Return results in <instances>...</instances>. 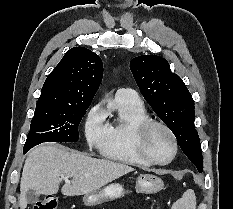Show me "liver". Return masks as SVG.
<instances>
[{
  "label": "liver",
  "instance_id": "obj_1",
  "mask_svg": "<svg viewBox=\"0 0 233 209\" xmlns=\"http://www.w3.org/2000/svg\"><path fill=\"white\" fill-rule=\"evenodd\" d=\"M132 171L134 168L123 163L92 158L51 144L39 145L28 153L25 160L19 206L20 209L27 207L26 193L29 190L36 196L56 194L63 175L72 178V182L63 185L62 194L79 196L95 192Z\"/></svg>",
  "mask_w": 233,
  "mask_h": 209
}]
</instances>
